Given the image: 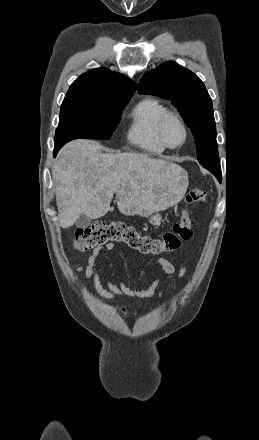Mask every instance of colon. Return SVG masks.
Listing matches in <instances>:
<instances>
[{
  "mask_svg": "<svg viewBox=\"0 0 259 440\" xmlns=\"http://www.w3.org/2000/svg\"><path fill=\"white\" fill-rule=\"evenodd\" d=\"M206 197V190L195 187L187 194L186 202L188 204L202 203ZM192 234L190 215L186 209H183L179 221L159 238L142 234L123 222L98 221L76 231L74 247L84 252L107 242H121L142 254L157 255L177 250L183 241L192 237Z\"/></svg>",
  "mask_w": 259,
  "mask_h": 440,
  "instance_id": "1",
  "label": "colon"
}]
</instances>
